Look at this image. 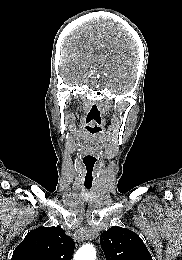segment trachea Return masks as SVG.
<instances>
[{
    "label": "trachea",
    "instance_id": "trachea-1",
    "mask_svg": "<svg viewBox=\"0 0 182 260\" xmlns=\"http://www.w3.org/2000/svg\"><path fill=\"white\" fill-rule=\"evenodd\" d=\"M86 188H87V189H90L91 187H89V186H86Z\"/></svg>",
    "mask_w": 182,
    "mask_h": 260
}]
</instances>
